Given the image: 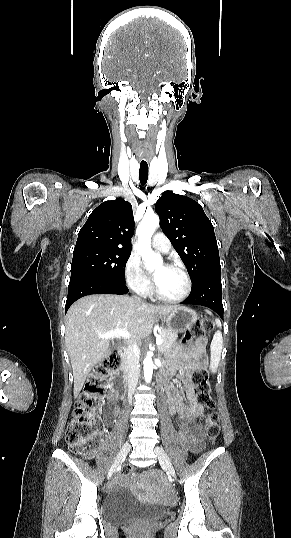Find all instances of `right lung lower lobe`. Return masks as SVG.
I'll use <instances>...</instances> for the list:
<instances>
[{
	"mask_svg": "<svg viewBox=\"0 0 291 538\" xmlns=\"http://www.w3.org/2000/svg\"><path fill=\"white\" fill-rule=\"evenodd\" d=\"M128 288L125 284L118 282L96 280V279H79L69 283L68 296L65 305V312L79 298L91 294H126Z\"/></svg>",
	"mask_w": 291,
	"mask_h": 538,
	"instance_id": "1",
	"label": "right lung lower lobe"
}]
</instances>
